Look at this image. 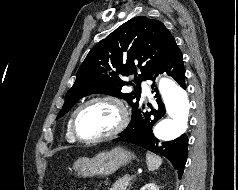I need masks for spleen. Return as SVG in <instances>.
I'll list each match as a JSON object with an SVG mask.
<instances>
[{
    "label": "spleen",
    "mask_w": 238,
    "mask_h": 190,
    "mask_svg": "<svg viewBox=\"0 0 238 190\" xmlns=\"http://www.w3.org/2000/svg\"><path fill=\"white\" fill-rule=\"evenodd\" d=\"M146 162L148 165V170L155 171L161 166L162 159L159 156L148 152L146 153Z\"/></svg>",
    "instance_id": "3e777b00"
}]
</instances>
